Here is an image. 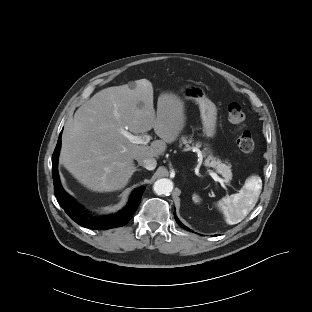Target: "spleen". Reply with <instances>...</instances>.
I'll use <instances>...</instances> for the list:
<instances>
[{
  "label": "spleen",
  "instance_id": "3e777b00",
  "mask_svg": "<svg viewBox=\"0 0 312 312\" xmlns=\"http://www.w3.org/2000/svg\"><path fill=\"white\" fill-rule=\"evenodd\" d=\"M261 191V179L253 177L249 182V187L242 192L235 194L225 200L223 213L228 224L233 225L242 221L254 208ZM195 202L197 196H193Z\"/></svg>",
  "mask_w": 312,
  "mask_h": 312
}]
</instances>
